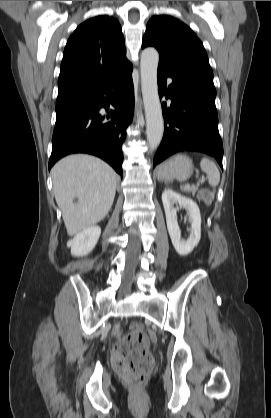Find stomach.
I'll list each match as a JSON object with an SVG mask.
<instances>
[{
    "label": "stomach",
    "instance_id": "obj_1",
    "mask_svg": "<svg viewBox=\"0 0 271 418\" xmlns=\"http://www.w3.org/2000/svg\"><path fill=\"white\" fill-rule=\"evenodd\" d=\"M193 172V162L185 155H176L168 161L161 164L157 169V178L160 181H171L176 179L184 181L188 179Z\"/></svg>",
    "mask_w": 271,
    "mask_h": 418
}]
</instances>
